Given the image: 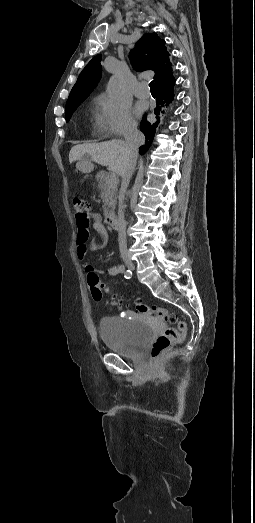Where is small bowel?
Returning <instances> with one entry per match:
<instances>
[{"mask_svg":"<svg viewBox=\"0 0 255 523\" xmlns=\"http://www.w3.org/2000/svg\"><path fill=\"white\" fill-rule=\"evenodd\" d=\"M77 231V258L83 261V267L88 273L104 274L106 276H117L124 271V266L121 264L111 266L106 273L94 269L86 260L87 253L91 251L103 250L108 244V232L102 223L101 216L98 213H91L88 215V224L85 226L78 225ZM90 228L94 229L101 237L100 242L91 241L89 244Z\"/></svg>","mask_w":255,"mask_h":523,"instance_id":"obj_1","label":"small bowel"}]
</instances>
